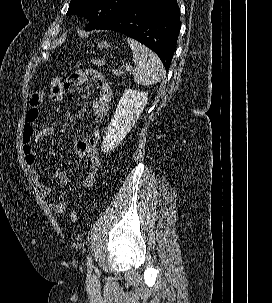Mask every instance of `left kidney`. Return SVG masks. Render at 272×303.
<instances>
[{"label": "left kidney", "instance_id": "left-kidney-1", "mask_svg": "<svg viewBox=\"0 0 272 303\" xmlns=\"http://www.w3.org/2000/svg\"><path fill=\"white\" fill-rule=\"evenodd\" d=\"M148 93L126 89L108 125L101 146L104 153L114 150L130 132L148 101Z\"/></svg>", "mask_w": 272, "mask_h": 303}]
</instances>
